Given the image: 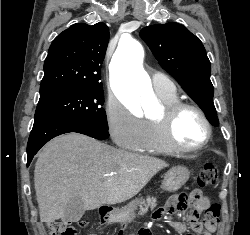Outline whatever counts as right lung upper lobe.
Listing matches in <instances>:
<instances>
[{
    "label": "right lung upper lobe",
    "mask_w": 250,
    "mask_h": 235,
    "mask_svg": "<svg viewBox=\"0 0 250 235\" xmlns=\"http://www.w3.org/2000/svg\"><path fill=\"white\" fill-rule=\"evenodd\" d=\"M109 40L105 23H76L52 42L44 63L40 97L102 86L101 67Z\"/></svg>",
    "instance_id": "1"
}]
</instances>
